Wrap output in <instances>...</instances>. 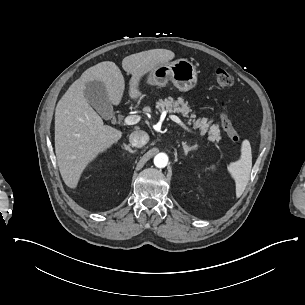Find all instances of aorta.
<instances>
[{"instance_id": "obj_1", "label": "aorta", "mask_w": 305, "mask_h": 305, "mask_svg": "<svg viewBox=\"0 0 305 305\" xmlns=\"http://www.w3.org/2000/svg\"><path fill=\"white\" fill-rule=\"evenodd\" d=\"M168 164V156L165 153H158L154 157V165L158 168H164Z\"/></svg>"}]
</instances>
